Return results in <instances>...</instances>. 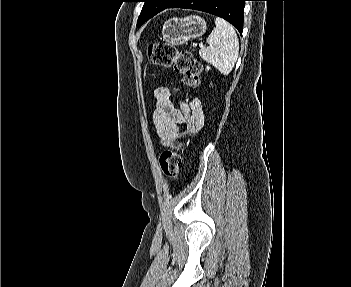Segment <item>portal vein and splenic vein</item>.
I'll use <instances>...</instances> for the list:
<instances>
[{"label":"portal vein and splenic vein","mask_w":351,"mask_h":287,"mask_svg":"<svg viewBox=\"0 0 351 287\" xmlns=\"http://www.w3.org/2000/svg\"><path fill=\"white\" fill-rule=\"evenodd\" d=\"M199 47H200V48H203V47H204V45H203V44H200V45H199Z\"/></svg>","instance_id":"18ae733b"}]
</instances>
